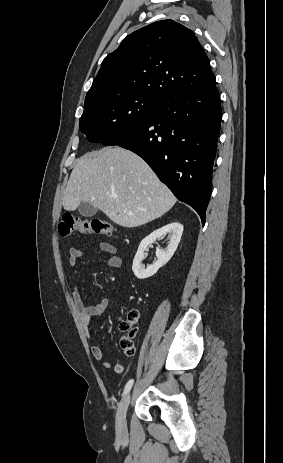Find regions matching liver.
Returning a JSON list of instances; mask_svg holds the SVG:
<instances>
[{
    "label": "liver",
    "mask_w": 283,
    "mask_h": 463,
    "mask_svg": "<svg viewBox=\"0 0 283 463\" xmlns=\"http://www.w3.org/2000/svg\"><path fill=\"white\" fill-rule=\"evenodd\" d=\"M176 201L138 155L121 147H105L77 161L63 207L74 211L82 202H89L114 223L133 228L161 217Z\"/></svg>",
    "instance_id": "1"
}]
</instances>
